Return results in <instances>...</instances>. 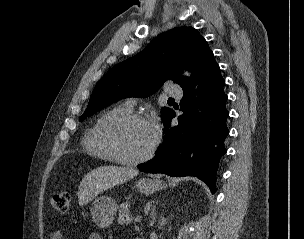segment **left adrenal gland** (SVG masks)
I'll return each instance as SVG.
<instances>
[{"label":"left adrenal gland","mask_w":304,"mask_h":239,"mask_svg":"<svg viewBox=\"0 0 304 239\" xmlns=\"http://www.w3.org/2000/svg\"><path fill=\"white\" fill-rule=\"evenodd\" d=\"M152 214H153V220H155V217H156V215H155V207L152 210Z\"/></svg>","instance_id":"1"}]
</instances>
